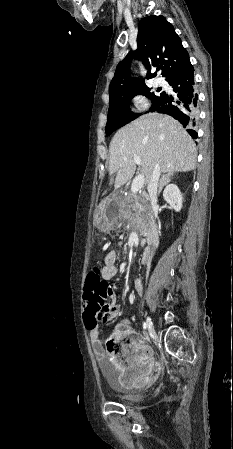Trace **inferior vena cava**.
<instances>
[{"label": "inferior vena cava", "instance_id": "602c4592", "mask_svg": "<svg viewBox=\"0 0 233 449\" xmlns=\"http://www.w3.org/2000/svg\"><path fill=\"white\" fill-rule=\"evenodd\" d=\"M160 175H161L160 166H159V164H156L153 169L151 178L147 185L149 199H150L151 206L153 209V214L155 217H156V205H157V187H158V181H159Z\"/></svg>", "mask_w": 233, "mask_h": 449}]
</instances>
